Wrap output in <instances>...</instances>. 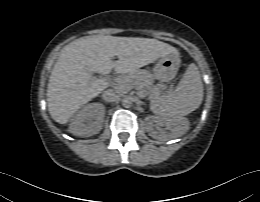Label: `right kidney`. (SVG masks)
<instances>
[{"label": "right kidney", "instance_id": "right-kidney-1", "mask_svg": "<svg viewBox=\"0 0 260 202\" xmlns=\"http://www.w3.org/2000/svg\"><path fill=\"white\" fill-rule=\"evenodd\" d=\"M105 107L91 103L82 107L71 119L69 131L76 136L89 137L102 129Z\"/></svg>", "mask_w": 260, "mask_h": 202}]
</instances>
